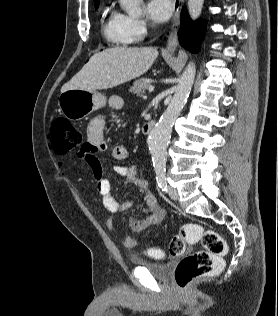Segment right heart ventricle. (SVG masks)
Wrapping results in <instances>:
<instances>
[{
  "label": "right heart ventricle",
  "mask_w": 278,
  "mask_h": 316,
  "mask_svg": "<svg viewBox=\"0 0 278 316\" xmlns=\"http://www.w3.org/2000/svg\"><path fill=\"white\" fill-rule=\"evenodd\" d=\"M101 27L103 36L109 43L113 45H126L130 43L121 28L118 13L110 7L104 8Z\"/></svg>",
  "instance_id": "right-heart-ventricle-1"
}]
</instances>
